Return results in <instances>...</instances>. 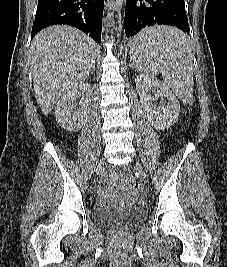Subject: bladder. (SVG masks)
<instances>
[{"label": "bladder", "instance_id": "1", "mask_svg": "<svg viewBox=\"0 0 227 267\" xmlns=\"http://www.w3.org/2000/svg\"><path fill=\"white\" fill-rule=\"evenodd\" d=\"M144 216V209L140 206L130 208L96 205L93 208L95 222L104 226L125 225L135 222Z\"/></svg>", "mask_w": 227, "mask_h": 267}]
</instances>
